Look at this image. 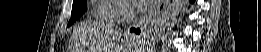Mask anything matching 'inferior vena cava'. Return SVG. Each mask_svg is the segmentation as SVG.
Returning <instances> with one entry per match:
<instances>
[{"mask_svg": "<svg viewBox=\"0 0 261 52\" xmlns=\"http://www.w3.org/2000/svg\"><path fill=\"white\" fill-rule=\"evenodd\" d=\"M128 16L131 18V17H135V13H134V9L130 7L129 9V14Z\"/></svg>", "mask_w": 261, "mask_h": 52, "instance_id": "602c4592", "label": "inferior vena cava"}]
</instances>
